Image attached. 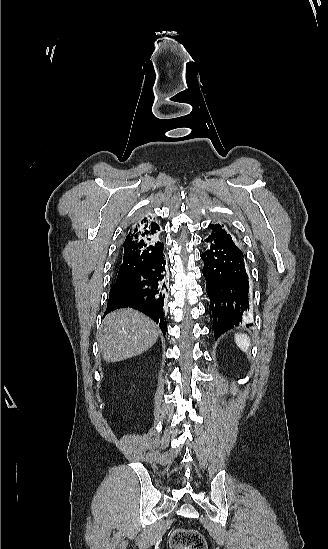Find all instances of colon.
Listing matches in <instances>:
<instances>
[{
	"label": "colon",
	"mask_w": 328,
	"mask_h": 549,
	"mask_svg": "<svg viewBox=\"0 0 328 549\" xmlns=\"http://www.w3.org/2000/svg\"><path fill=\"white\" fill-rule=\"evenodd\" d=\"M169 544L173 549H206L204 536L197 530L177 528L172 531Z\"/></svg>",
	"instance_id": "1"
}]
</instances>
